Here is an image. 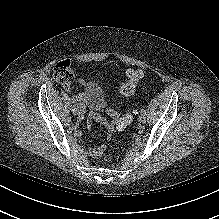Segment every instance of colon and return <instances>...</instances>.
I'll use <instances>...</instances> for the list:
<instances>
[{
	"instance_id": "colon-1",
	"label": "colon",
	"mask_w": 219,
	"mask_h": 219,
	"mask_svg": "<svg viewBox=\"0 0 219 219\" xmlns=\"http://www.w3.org/2000/svg\"><path fill=\"white\" fill-rule=\"evenodd\" d=\"M54 79L63 85H69L74 79V70L70 60H62L58 62L53 69ZM141 78V72L138 70H130L127 79L121 83L120 92L125 96H130L134 93L137 83ZM135 109L133 106L127 108L121 117H116L113 114V120L108 125V130L116 129L118 132H123L133 121ZM94 113L89 116V124L94 119Z\"/></svg>"
}]
</instances>
